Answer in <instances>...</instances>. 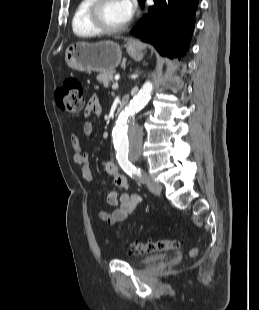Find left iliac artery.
<instances>
[{"label": "left iliac artery", "instance_id": "obj_1", "mask_svg": "<svg viewBox=\"0 0 259 310\" xmlns=\"http://www.w3.org/2000/svg\"><path fill=\"white\" fill-rule=\"evenodd\" d=\"M120 166L122 169L130 176H133L135 178L144 179L145 173L140 169L132 165L128 160L127 161H121Z\"/></svg>", "mask_w": 259, "mask_h": 310}]
</instances>
